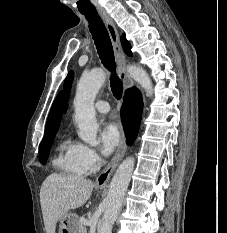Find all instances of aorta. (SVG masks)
I'll return each mask as SVG.
<instances>
[{
  "instance_id": "obj_1",
  "label": "aorta",
  "mask_w": 227,
  "mask_h": 233,
  "mask_svg": "<svg viewBox=\"0 0 227 233\" xmlns=\"http://www.w3.org/2000/svg\"><path fill=\"white\" fill-rule=\"evenodd\" d=\"M130 76L141 85L148 96L152 95V82L147 72L134 65L127 67ZM106 80L102 69L83 74L77 85L74 100L75 122L79 128V137L87 144L96 146L99 125L96 121L94 101L96 95ZM135 160L126 158L117 168L106 197V207L99 233H112V227L121 208L122 200L131 180Z\"/></svg>"
}]
</instances>
